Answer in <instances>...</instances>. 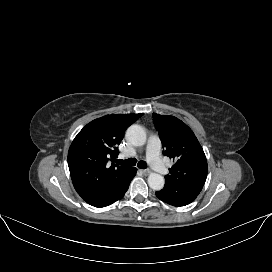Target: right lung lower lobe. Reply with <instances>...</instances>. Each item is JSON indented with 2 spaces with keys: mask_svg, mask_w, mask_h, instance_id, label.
I'll return each instance as SVG.
<instances>
[{
  "mask_svg": "<svg viewBox=\"0 0 272 272\" xmlns=\"http://www.w3.org/2000/svg\"><path fill=\"white\" fill-rule=\"evenodd\" d=\"M136 171V168H131L129 171L121 174L106 189L85 201L94 207L101 208L121 199L128 190L131 180L136 175Z\"/></svg>",
  "mask_w": 272,
  "mask_h": 272,
  "instance_id": "right-lung-lower-lobe-1",
  "label": "right lung lower lobe"
}]
</instances>
